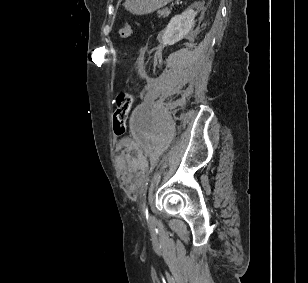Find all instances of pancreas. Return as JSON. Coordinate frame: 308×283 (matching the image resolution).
<instances>
[{
    "label": "pancreas",
    "instance_id": "pancreas-1",
    "mask_svg": "<svg viewBox=\"0 0 308 283\" xmlns=\"http://www.w3.org/2000/svg\"><path fill=\"white\" fill-rule=\"evenodd\" d=\"M169 14H170L169 10H161L158 12V17L166 18L169 16Z\"/></svg>",
    "mask_w": 308,
    "mask_h": 283
}]
</instances>
